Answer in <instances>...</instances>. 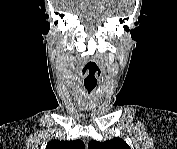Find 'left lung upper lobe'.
Returning <instances> with one entry per match:
<instances>
[{"label":"left lung upper lobe","mask_w":177,"mask_h":149,"mask_svg":"<svg viewBox=\"0 0 177 149\" xmlns=\"http://www.w3.org/2000/svg\"><path fill=\"white\" fill-rule=\"evenodd\" d=\"M89 149H130L126 142L121 138H113L105 142L90 141Z\"/></svg>","instance_id":"1"}]
</instances>
